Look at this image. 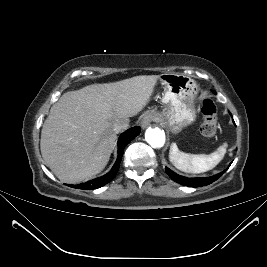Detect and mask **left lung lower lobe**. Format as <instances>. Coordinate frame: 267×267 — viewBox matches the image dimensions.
<instances>
[{
    "label": "left lung lower lobe",
    "instance_id": "1",
    "mask_svg": "<svg viewBox=\"0 0 267 267\" xmlns=\"http://www.w3.org/2000/svg\"><path fill=\"white\" fill-rule=\"evenodd\" d=\"M165 171L169 175V177L177 183H180V184L185 185V186L200 187V186H205V185L211 184L212 182L216 181L219 177H221L225 173L226 170H224L223 172H221L219 174H216V175L211 176V177H206V178L183 177V176H180V175L174 173L173 171H171L167 167H165Z\"/></svg>",
    "mask_w": 267,
    "mask_h": 267
}]
</instances>
